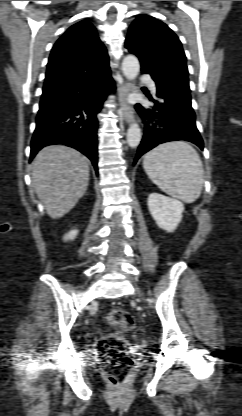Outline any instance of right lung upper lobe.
<instances>
[{
    "instance_id": "cb5924a9",
    "label": "right lung upper lobe",
    "mask_w": 242,
    "mask_h": 416,
    "mask_svg": "<svg viewBox=\"0 0 242 416\" xmlns=\"http://www.w3.org/2000/svg\"><path fill=\"white\" fill-rule=\"evenodd\" d=\"M108 70L107 50L95 27L81 21L71 26L53 46L43 90L83 81Z\"/></svg>"
}]
</instances>
